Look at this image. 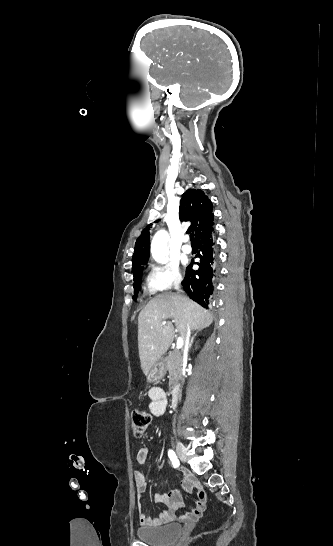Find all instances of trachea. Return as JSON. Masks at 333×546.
Here are the masks:
<instances>
[{"label": "trachea", "instance_id": "obj_1", "mask_svg": "<svg viewBox=\"0 0 333 546\" xmlns=\"http://www.w3.org/2000/svg\"><path fill=\"white\" fill-rule=\"evenodd\" d=\"M190 240H191V244H195V241H194V233H191V234H190Z\"/></svg>", "mask_w": 333, "mask_h": 546}]
</instances>
